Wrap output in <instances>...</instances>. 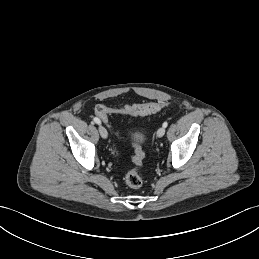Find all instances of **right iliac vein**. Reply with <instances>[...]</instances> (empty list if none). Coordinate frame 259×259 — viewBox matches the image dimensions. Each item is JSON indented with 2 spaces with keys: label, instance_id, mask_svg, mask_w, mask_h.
<instances>
[{
  "label": "right iliac vein",
  "instance_id": "1",
  "mask_svg": "<svg viewBox=\"0 0 259 259\" xmlns=\"http://www.w3.org/2000/svg\"><path fill=\"white\" fill-rule=\"evenodd\" d=\"M99 133L103 139L108 137L107 130L103 126H99Z\"/></svg>",
  "mask_w": 259,
  "mask_h": 259
}]
</instances>
